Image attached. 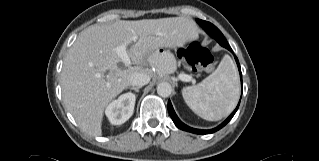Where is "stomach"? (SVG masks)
Masks as SVG:
<instances>
[{"mask_svg":"<svg viewBox=\"0 0 319 161\" xmlns=\"http://www.w3.org/2000/svg\"><path fill=\"white\" fill-rule=\"evenodd\" d=\"M156 68L163 74L174 73L177 69L175 56L163 48L156 49L150 54Z\"/></svg>","mask_w":319,"mask_h":161,"instance_id":"obj_1","label":"stomach"}]
</instances>
